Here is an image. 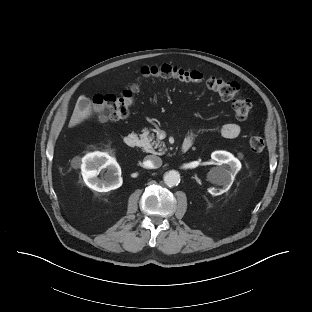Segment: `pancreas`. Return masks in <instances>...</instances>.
Masks as SVG:
<instances>
[{
	"instance_id": "cf45deb5",
	"label": "pancreas",
	"mask_w": 312,
	"mask_h": 312,
	"mask_svg": "<svg viewBox=\"0 0 312 312\" xmlns=\"http://www.w3.org/2000/svg\"><path fill=\"white\" fill-rule=\"evenodd\" d=\"M154 134H150L148 130H144L142 134H140L141 139V147L147 153L163 155L166 152V146L159 139L154 140ZM158 150V151H156Z\"/></svg>"
}]
</instances>
